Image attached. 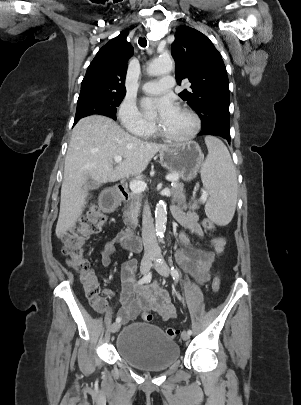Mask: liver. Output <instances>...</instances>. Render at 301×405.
Returning a JSON list of instances; mask_svg holds the SVG:
<instances>
[{"label":"liver","mask_w":301,"mask_h":405,"mask_svg":"<svg viewBox=\"0 0 301 405\" xmlns=\"http://www.w3.org/2000/svg\"><path fill=\"white\" fill-rule=\"evenodd\" d=\"M167 147L142 141L105 116L81 119L72 131L65 157L57 236L62 237L80 219L89 178L100 184L137 176L157 152ZM115 156L123 157V161L114 168Z\"/></svg>","instance_id":"liver-1"}]
</instances>
